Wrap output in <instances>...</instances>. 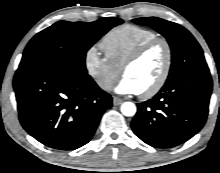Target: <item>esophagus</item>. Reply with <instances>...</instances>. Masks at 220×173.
Segmentation results:
<instances>
[{
	"instance_id": "1",
	"label": "esophagus",
	"mask_w": 220,
	"mask_h": 173,
	"mask_svg": "<svg viewBox=\"0 0 220 173\" xmlns=\"http://www.w3.org/2000/svg\"><path fill=\"white\" fill-rule=\"evenodd\" d=\"M122 103H123V100H122L121 98L113 97V104H114L115 106H118V105H120V104H122Z\"/></svg>"
}]
</instances>
